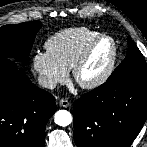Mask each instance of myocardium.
<instances>
[{
  "label": "myocardium",
  "instance_id": "f54148a6",
  "mask_svg": "<svg viewBox=\"0 0 147 147\" xmlns=\"http://www.w3.org/2000/svg\"><path fill=\"white\" fill-rule=\"evenodd\" d=\"M102 40H109L112 46L111 55L108 61L107 66L105 69L94 79L89 81H82L80 78L81 71L85 64L87 63L88 59L90 58L94 48L96 45L101 42ZM118 57V46L116 43V40L105 33H99L96 37H94L84 48L78 59L76 60L72 72H73V78L75 82L82 87L83 89L91 90L95 89L99 86H101L103 83H105L108 78L111 76Z\"/></svg>",
  "mask_w": 147,
  "mask_h": 147
}]
</instances>
